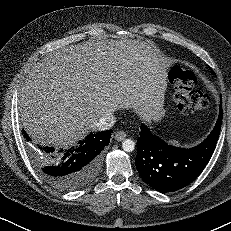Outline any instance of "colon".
I'll use <instances>...</instances> for the list:
<instances>
[{"instance_id": "obj_1", "label": "colon", "mask_w": 231, "mask_h": 231, "mask_svg": "<svg viewBox=\"0 0 231 231\" xmlns=\"http://www.w3.org/2000/svg\"><path fill=\"white\" fill-rule=\"evenodd\" d=\"M169 79L174 86V98L181 112L191 114L208 108L210 98L194 90L197 76L193 71L175 66L169 72Z\"/></svg>"}]
</instances>
